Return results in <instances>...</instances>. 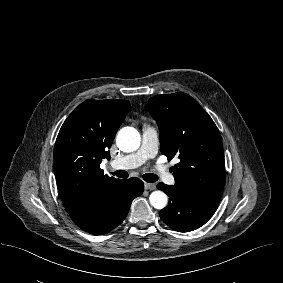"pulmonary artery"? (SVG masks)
<instances>
[{
    "label": "pulmonary artery",
    "mask_w": 283,
    "mask_h": 283,
    "mask_svg": "<svg viewBox=\"0 0 283 283\" xmlns=\"http://www.w3.org/2000/svg\"><path fill=\"white\" fill-rule=\"evenodd\" d=\"M158 150V132L155 127L145 125L142 129L141 146L139 150L133 154L115 159L111 161V167L115 169L136 168L146 161L155 157ZM157 174L166 183L173 185L175 179L168 172L165 166L157 167Z\"/></svg>",
    "instance_id": "obj_1"
}]
</instances>
